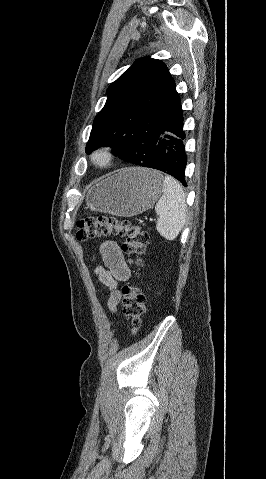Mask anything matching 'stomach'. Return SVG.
Wrapping results in <instances>:
<instances>
[{"label": "stomach", "instance_id": "stomach-1", "mask_svg": "<svg viewBox=\"0 0 266 479\" xmlns=\"http://www.w3.org/2000/svg\"><path fill=\"white\" fill-rule=\"evenodd\" d=\"M163 185L164 178L158 171L121 169L89 190L87 207L116 216H136L155 204L163 193Z\"/></svg>", "mask_w": 266, "mask_h": 479}]
</instances>
